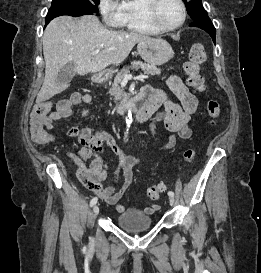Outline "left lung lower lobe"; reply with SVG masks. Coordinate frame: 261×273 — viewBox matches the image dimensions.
Returning <instances> with one entry per match:
<instances>
[{"mask_svg": "<svg viewBox=\"0 0 261 273\" xmlns=\"http://www.w3.org/2000/svg\"><path fill=\"white\" fill-rule=\"evenodd\" d=\"M189 26L198 27L205 30L211 36L213 42L215 43V39H216L215 27L207 14L194 19V21L190 23Z\"/></svg>", "mask_w": 261, "mask_h": 273, "instance_id": "1", "label": "left lung lower lobe"}]
</instances>
